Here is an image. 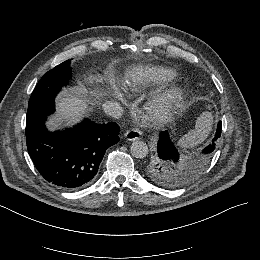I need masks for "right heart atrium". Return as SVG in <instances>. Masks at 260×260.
Listing matches in <instances>:
<instances>
[{
    "label": "right heart atrium",
    "mask_w": 260,
    "mask_h": 260,
    "mask_svg": "<svg viewBox=\"0 0 260 260\" xmlns=\"http://www.w3.org/2000/svg\"><path fill=\"white\" fill-rule=\"evenodd\" d=\"M113 95L117 96V93L114 91L113 87L107 79L101 81L96 87L95 97L98 100H104Z\"/></svg>",
    "instance_id": "d8ad5b80"
}]
</instances>
